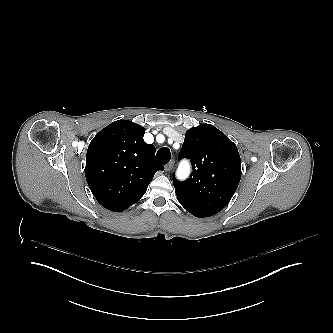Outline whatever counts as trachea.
Wrapping results in <instances>:
<instances>
[{
  "label": "trachea",
  "mask_w": 333,
  "mask_h": 333,
  "mask_svg": "<svg viewBox=\"0 0 333 333\" xmlns=\"http://www.w3.org/2000/svg\"><path fill=\"white\" fill-rule=\"evenodd\" d=\"M170 158L171 152L166 147L159 149L156 153V159L162 164H167L170 161Z\"/></svg>",
  "instance_id": "trachea-1"
}]
</instances>
